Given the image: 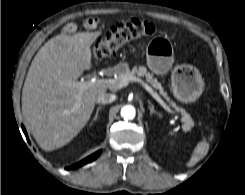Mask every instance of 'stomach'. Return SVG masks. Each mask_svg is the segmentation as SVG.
Returning a JSON list of instances; mask_svg holds the SVG:
<instances>
[{
    "label": "stomach",
    "instance_id": "stomach-1",
    "mask_svg": "<svg viewBox=\"0 0 245 195\" xmlns=\"http://www.w3.org/2000/svg\"><path fill=\"white\" fill-rule=\"evenodd\" d=\"M174 55L171 43L163 38H155L147 46V65L156 74L166 73L173 64ZM128 69L127 63H119L117 73ZM171 89L174 97L183 103L196 101L204 90V82L198 69L189 65L176 66L171 74Z\"/></svg>",
    "mask_w": 245,
    "mask_h": 195
}]
</instances>
